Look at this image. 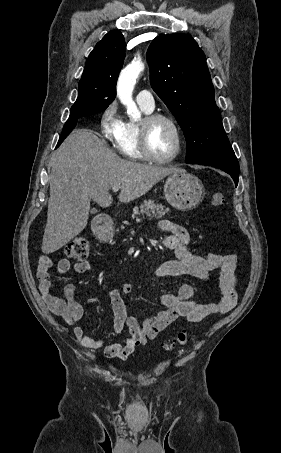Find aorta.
<instances>
[{
    "mask_svg": "<svg viewBox=\"0 0 281 453\" xmlns=\"http://www.w3.org/2000/svg\"><path fill=\"white\" fill-rule=\"evenodd\" d=\"M144 70L141 60H134L126 66L120 73L117 82V95L121 103L126 107L130 117L138 120L141 113L132 98V93L140 73Z\"/></svg>",
    "mask_w": 281,
    "mask_h": 453,
    "instance_id": "762f6f07",
    "label": "aorta"
}]
</instances>
